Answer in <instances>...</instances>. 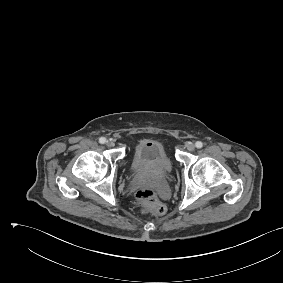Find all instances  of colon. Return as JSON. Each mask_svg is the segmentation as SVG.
I'll list each match as a JSON object with an SVG mask.
<instances>
[{"label": "colon", "instance_id": "5ec220e1", "mask_svg": "<svg viewBox=\"0 0 283 283\" xmlns=\"http://www.w3.org/2000/svg\"><path fill=\"white\" fill-rule=\"evenodd\" d=\"M135 198L144 213L162 215L166 211L164 204L159 200L155 191L151 189L138 190L135 193Z\"/></svg>", "mask_w": 283, "mask_h": 283}]
</instances>
